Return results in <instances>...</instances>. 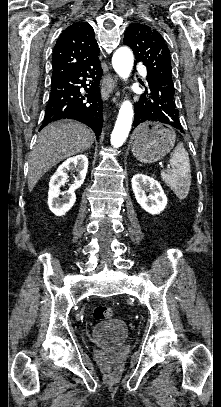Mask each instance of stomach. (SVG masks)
<instances>
[{"mask_svg":"<svg viewBox=\"0 0 221 407\" xmlns=\"http://www.w3.org/2000/svg\"><path fill=\"white\" fill-rule=\"evenodd\" d=\"M175 131L157 122L140 125L134 136L132 153L143 163H154L163 158L174 147Z\"/></svg>","mask_w":221,"mask_h":407,"instance_id":"0dacf381","label":"stomach"}]
</instances>
